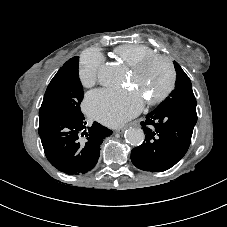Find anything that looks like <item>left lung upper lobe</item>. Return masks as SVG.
<instances>
[{
	"label": "left lung upper lobe",
	"mask_w": 227,
	"mask_h": 227,
	"mask_svg": "<svg viewBox=\"0 0 227 227\" xmlns=\"http://www.w3.org/2000/svg\"><path fill=\"white\" fill-rule=\"evenodd\" d=\"M174 66L177 73L175 89L156 109L178 107L196 111V99L192 91L191 81L178 63L174 62Z\"/></svg>",
	"instance_id": "5c2ea615"
}]
</instances>
